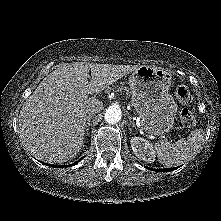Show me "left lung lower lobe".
<instances>
[{
  "mask_svg": "<svg viewBox=\"0 0 221 221\" xmlns=\"http://www.w3.org/2000/svg\"><path fill=\"white\" fill-rule=\"evenodd\" d=\"M177 168H179V167H175V168H166V169H157V170H155V171L167 172V171L175 170V169H177Z\"/></svg>",
  "mask_w": 221,
  "mask_h": 221,
  "instance_id": "1",
  "label": "left lung lower lobe"
}]
</instances>
